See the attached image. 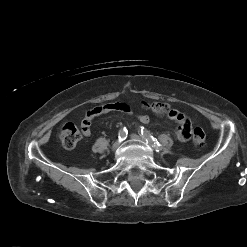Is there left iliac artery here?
Returning a JSON list of instances; mask_svg holds the SVG:
<instances>
[{"label": "left iliac artery", "instance_id": "44dca946", "mask_svg": "<svg viewBox=\"0 0 247 247\" xmlns=\"http://www.w3.org/2000/svg\"><path fill=\"white\" fill-rule=\"evenodd\" d=\"M139 132L142 135V137L147 141V143H149L156 151L159 152L162 149V147H161L160 143L157 141V139L154 138L153 136H151L149 134V132L144 127H141Z\"/></svg>", "mask_w": 247, "mask_h": 247}]
</instances>
